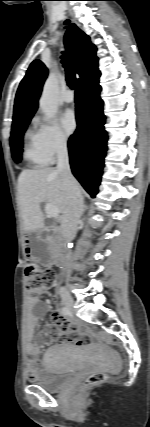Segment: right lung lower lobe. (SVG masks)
Instances as JSON below:
<instances>
[{
    "label": "right lung lower lobe",
    "instance_id": "right-lung-lower-lobe-1",
    "mask_svg": "<svg viewBox=\"0 0 150 427\" xmlns=\"http://www.w3.org/2000/svg\"><path fill=\"white\" fill-rule=\"evenodd\" d=\"M99 77L100 73L77 85L75 102L78 126L68 141L72 172L92 197L98 192L107 150Z\"/></svg>",
    "mask_w": 150,
    "mask_h": 427
}]
</instances>
